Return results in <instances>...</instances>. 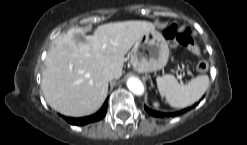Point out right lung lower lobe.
Masks as SVG:
<instances>
[{
    "label": "right lung lower lobe",
    "instance_id": "obj_1",
    "mask_svg": "<svg viewBox=\"0 0 247 145\" xmlns=\"http://www.w3.org/2000/svg\"><path fill=\"white\" fill-rule=\"evenodd\" d=\"M106 110H107V100L105 101L102 108L96 114H93L88 117H83V118L64 117V119L72 125H85L90 122H95V121L102 119L106 114Z\"/></svg>",
    "mask_w": 247,
    "mask_h": 145
}]
</instances>
